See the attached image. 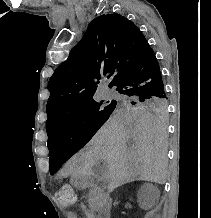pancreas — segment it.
Here are the masks:
<instances>
[{
  "label": "pancreas",
  "instance_id": "obj_1",
  "mask_svg": "<svg viewBox=\"0 0 211 218\" xmlns=\"http://www.w3.org/2000/svg\"><path fill=\"white\" fill-rule=\"evenodd\" d=\"M93 189L88 194L89 208H91V212H99L103 205L109 204L108 196L105 195V190H99V186H94Z\"/></svg>",
  "mask_w": 211,
  "mask_h": 218
}]
</instances>
